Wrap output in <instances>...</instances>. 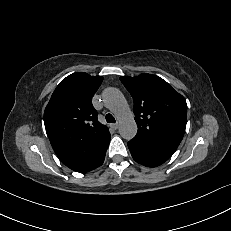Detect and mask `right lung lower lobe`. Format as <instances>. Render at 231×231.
Here are the masks:
<instances>
[{
  "mask_svg": "<svg viewBox=\"0 0 231 231\" xmlns=\"http://www.w3.org/2000/svg\"><path fill=\"white\" fill-rule=\"evenodd\" d=\"M109 142H110V137L109 139L106 141V143L103 145L102 149L100 150V152L98 153V155L96 156V159L94 160L93 163H91L90 165L88 166H82L80 167L79 169H77L76 171L77 172H80V173H85V172H89L99 166L102 165L103 161H104V158H105V154H106V150H107V147L109 145Z\"/></svg>",
  "mask_w": 231,
  "mask_h": 231,
  "instance_id": "1",
  "label": "right lung lower lobe"
}]
</instances>
